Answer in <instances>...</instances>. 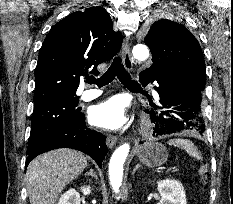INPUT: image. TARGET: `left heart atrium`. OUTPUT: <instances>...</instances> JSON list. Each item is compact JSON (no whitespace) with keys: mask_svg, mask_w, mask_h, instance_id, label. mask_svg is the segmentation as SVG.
I'll list each match as a JSON object with an SVG mask.
<instances>
[{"mask_svg":"<svg viewBox=\"0 0 233 204\" xmlns=\"http://www.w3.org/2000/svg\"><path fill=\"white\" fill-rule=\"evenodd\" d=\"M126 120L125 103L119 97H112L93 106L89 113L92 125L109 130L121 128Z\"/></svg>","mask_w":233,"mask_h":204,"instance_id":"left-heart-atrium-1","label":"left heart atrium"}]
</instances>
